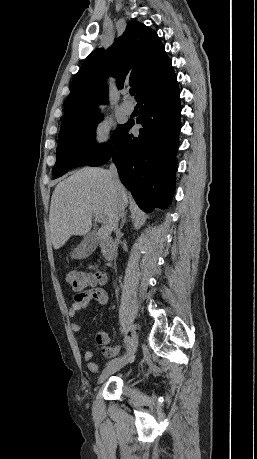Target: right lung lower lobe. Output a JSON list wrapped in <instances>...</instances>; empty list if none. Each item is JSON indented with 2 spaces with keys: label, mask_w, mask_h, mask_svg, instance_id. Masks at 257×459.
<instances>
[{
  "label": "right lung lower lobe",
  "mask_w": 257,
  "mask_h": 459,
  "mask_svg": "<svg viewBox=\"0 0 257 459\" xmlns=\"http://www.w3.org/2000/svg\"><path fill=\"white\" fill-rule=\"evenodd\" d=\"M180 91L175 73L144 93L138 100L143 127L139 136L129 135L134 122L128 121L110 152L90 163L100 166L110 158L121 182L146 213L166 209L174 192L176 151L181 128Z\"/></svg>",
  "instance_id": "right-lung-lower-lobe-1"
}]
</instances>
